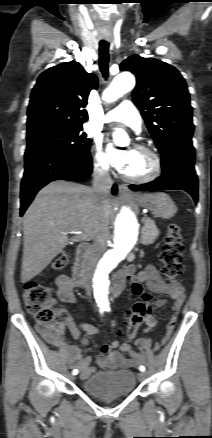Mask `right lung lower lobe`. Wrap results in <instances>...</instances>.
<instances>
[{
    "instance_id": "98d812e1",
    "label": "right lung lower lobe",
    "mask_w": 212,
    "mask_h": 438,
    "mask_svg": "<svg viewBox=\"0 0 212 438\" xmlns=\"http://www.w3.org/2000/svg\"><path fill=\"white\" fill-rule=\"evenodd\" d=\"M91 173L92 159L89 151L26 149L25 172L21 182L20 215H23L36 193L49 182L82 180ZM116 192L117 188L114 185L113 193Z\"/></svg>"
}]
</instances>
